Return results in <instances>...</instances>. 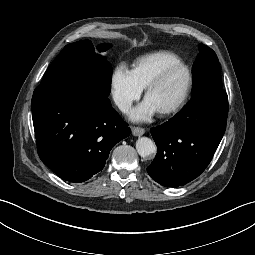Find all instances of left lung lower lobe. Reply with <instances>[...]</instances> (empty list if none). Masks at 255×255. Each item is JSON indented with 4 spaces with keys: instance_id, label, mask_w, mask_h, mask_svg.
I'll return each instance as SVG.
<instances>
[{
    "instance_id": "left-lung-lower-lobe-1",
    "label": "left lung lower lobe",
    "mask_w": 255,
    "mask_h": 255,
    "mask_svg": "<svg viewBox=\"0 0 255 255\" xmlns=\"http://www.w3.org/2000/svg\"><path fill=\"white\" fill-rule=\"evenodd\" d=\"M228 97L209 85L168 122L151 129L157 154L148 174L166 187L183 186L210 163L226 129Z\"/></svg>"
}]
</instances>
